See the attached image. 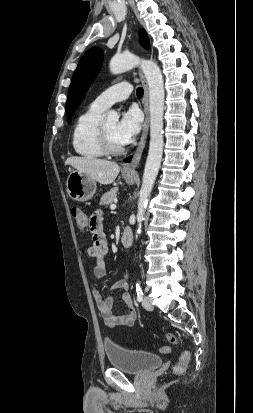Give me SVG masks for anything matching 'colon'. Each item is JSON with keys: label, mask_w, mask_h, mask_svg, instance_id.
Segmentation results:
<instances>
[{"label": "colon", "mask_w": 253, "mask_h": 413, "mask_svg": "<svg viewBox=\"0 0 253 413\" xmlns=\"http://www.w3.org/2000/svg\"><path fill=\"white\" fill-rule=\"evenodd\" d=\"M71 216L74 222L76 223V225L80 229H84L88 225L87 216L80 208L73 207L71 209ZM167 340L173 345H176L179 343L178 338L173 333H167ZM160 350L164 353L170 352V348L168 346H163L160 348ZM189 360H190V353L187 351L183 352L179 358L178 363L174 366V373L180 374L184 372Z\"/></svg>", "instance_id": "colon-1"}]
</instances>
